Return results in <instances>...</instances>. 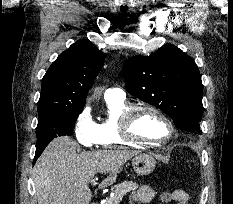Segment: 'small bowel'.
I'll use <instances>...</instances> for the list:
<instances>
[{
    "label": "small bowel",
    "instance_id": "1",
    "mask_svg": "<svg viewBox=\"0 0 233 204\" xmlns=\"http://www.w3.org/2000/svg\"><path fill=\"white\" fill-rule=\"evenodd\" d=\"M176 197L174 200H164L167 202H175L176 204H188L189 196L181 189L176 190ZM155 197V191L150 186H141L132 195V201L134 203H148Z\"/></svg>",
    "mask_w": 233,
    "mask_h": 204
}]
</instances>
